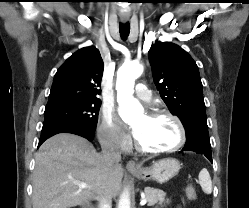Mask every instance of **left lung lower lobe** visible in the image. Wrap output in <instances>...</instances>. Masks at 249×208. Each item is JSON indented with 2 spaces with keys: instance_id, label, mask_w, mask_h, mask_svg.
Masks as SVG:
<instances>
[{
  "instance_id": "0a47b994",
  "label": "left lung lower lobe",
  "mask_w": 249,
  "mask_h": 208,
  "mask_svg": "<svg viewBox=\"0 0 249 208\" xmlns=\"http://www.w3.org/2000/svg\"><path fill=\"white\" fill-rule=\"evenodd\" d=\"M182 151H194L199 154H204L209 161L212 162L211 144L209 136L207 135L197 133L188 137L181 152Z\"/></svg>"
}]
</instances>
